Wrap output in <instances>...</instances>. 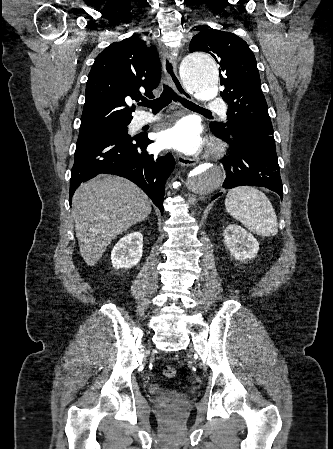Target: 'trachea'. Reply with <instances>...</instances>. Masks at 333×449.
Wrapping results in <instances>:
<instances>
[{"label": "trachea", "instance_id": "1", "mask_svg": "<svg viewBox=\"0 0 333 449\" xmlns=\"http://www.w3.org/2000/svg\"><path fill=\"white\" fill-rule=\"evenodd\" d=\"M172 99L174 101L180 102L184 107L188 109L199 112H210L209 110L204 109L185 98L178 97L172 90V88L168 85H164V90L159 98L151 101L147 100L146 98H142V102L140 103V105L151 108L153 112H159L161 109L166 107L172 101Z\"/></svg>", "mask_w": 333, "mask_h": 449}]
</instances>
